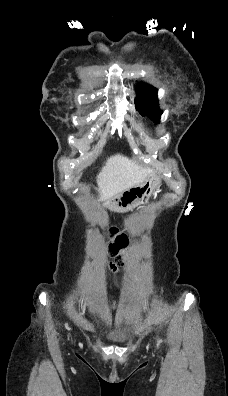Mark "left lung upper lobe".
I'll list each match as a JSON object with an SVG mask.
<instances>
[{
    "label": "left lung upper lobe",
    "mask_w": 228,
    "mask_h": 396,
    "mask_svg": "<svg viewBox=\"0 0 228 396\" xmlns=\"http://www.w3.org/2000/svg\"><path fill=\"white\" fill-rule=\"evenodd\" d=\"M135 104L137 110L154 122L159 123L162 111L158 105L157 89L145 83H139L136 89Z\"/></svg>",
    "instance_id": "left-lung-upper-lobe-1"
}]
</instances>
